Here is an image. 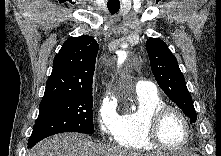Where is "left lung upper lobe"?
Returning a JSON list of instances; mask_svg holds the SVG:
<instances>
[{"label":"left lung upper lobe","mask_w":221,"mask_h":156,"mask_svg":"<svg viewBox=\"0 0 221 156\" xmlns=\"http://www.w3.org/2000/svg\"><path fill=\"white\" fill-rule=\"evenodd\" d=\"M146 49L158 85L190 118V122L194 123L197 118L196 111L175 56L166 43L158 38H149L146 41Z\"/></svg>","instance_id":"obj_1"}]
</instances>
